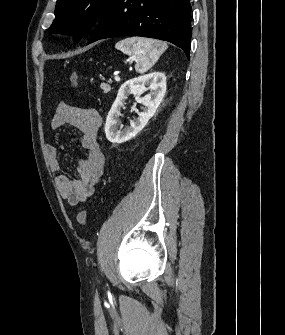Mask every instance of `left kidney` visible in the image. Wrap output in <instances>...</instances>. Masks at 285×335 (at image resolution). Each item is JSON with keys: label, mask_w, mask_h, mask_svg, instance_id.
I'll return each instance as SVG.
<instances>
[{"label": "left kidney", "mask_w": 285, "mask_h": 335, "mask_svg": "<svg viewBox=\"0 0 285 335\" xmlns=\"http://www.w3.org/2000/svg\"><path fill=\"white\" fill-rule=\"evenodd\" d=\"M166 76L162 72H152V74H146V76H139V78H133L122 84L120 90H118L117 98L106 118L105 134L107 140L112 144H123L128 142L134 136H137L146 124H148L150 118L154 116L158 106H160L166 92ZM145 86H149L153 92L140 98L141 94H144ZM129 94H134L135 102L137 104H143V112L133 110L137 112V122H131L130 128L125 130H118L119 116H121V108L124 106V100H127Z\"/></svg>", "instance_id": "obj_1"}]
</instances>
